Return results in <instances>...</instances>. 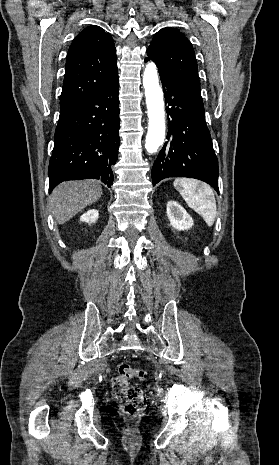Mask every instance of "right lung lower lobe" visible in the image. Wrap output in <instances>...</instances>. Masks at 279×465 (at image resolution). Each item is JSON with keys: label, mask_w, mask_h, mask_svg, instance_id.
<instances>
[{"label": "right lung lower lobe", "mask_w": 279, "mask_h": 465, "mask_svg": "<svg viewBox=\"0 0 279 465\" xmlns=\"http://www.w3.org/2000/svg\"><path fill=\"white\" fill-rule=\"evenodd\" d=\"M118 76L91 98L59 117L50 159L49 192L66 180L99 179L113 184L118 157Z\"/></svg>", "instance_id": "right-lung-lower-lobe-1"}]
</instances>
